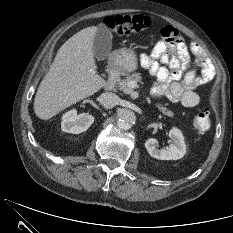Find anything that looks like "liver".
Listing matches in <instances>:
<instances>
[{"label": "liver", "instance_id": "obj_1", "mask_svg": "<svg viewBox=\"0 0 233 233\" xmlns=\"http://www.w3.org/2000/svg\"><path fill=\"white\" fill-rule=\"evenodd\" d=\"M96 26L84 28L58 50L34 99V112L47 120L106 86L97 74L93 54Z\"/></svg>", "mask_w": 233, "mask_h": 233}]
</instances>
